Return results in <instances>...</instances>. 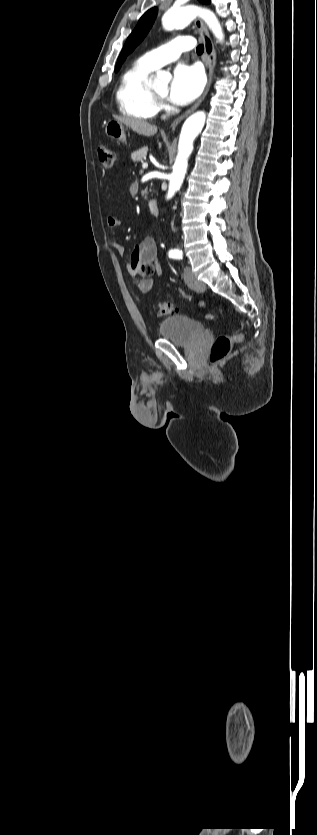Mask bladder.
Segmentation results:
<instances>
[{
	"label": "bladder",
	"instance_id": "obj_1",
	"mask_svg": "<svg viewBox=\"0 0 317 835\" xmlns=\"http://www.w3.org/2000/svg\"><path fill=\"white\" fill-rule=\"evenodd\" d=\"M205 331L204 325L188 316L171 315L166 317L158 328L159 336L174 344L186 346L199 339Z\"/></svg>",
	"mask_w": 317,
	"mask_h": 835
}]
</instances>
